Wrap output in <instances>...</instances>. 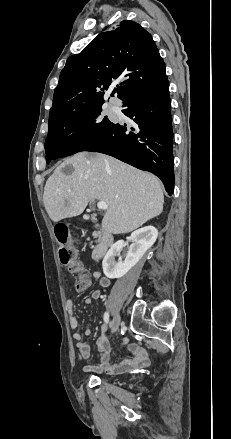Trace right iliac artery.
<instances>
[{
    "label": "right iliac artery",
    "mask_w": 231,
    "mask_h": 439,
    "mask_svg": "<svg viewBox=\"0 0 231 439\" xmlns=\"http://www.w3.org/2000/svg\"><path fill=\"white\" fill-rule=\"evenodd\" d=\"M104 322L106 324H108V322H109V313L108 312H105V314H104Z\"/></svg>",
    "instance_id": "obj_1"
}]
</instances>
